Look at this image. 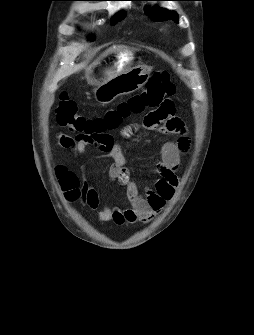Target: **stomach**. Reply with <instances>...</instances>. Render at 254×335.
Masks as SVG:
<instances>
[{
	"mask_svg": "<svg viewBox=\"0 0 254 335\" xmlns=\"http://www.w3.org/2000/svg\"><path fill=\"white\" fill-rule=\"evenodd\" d=\"M134 49L122 47L111 58L97 60L88 72V81L96 85L94 97L108 104L116 97L141 88L149 79L150 67H133Z\"/></svg>",
	"mask_w": 254,
	"mask_h": 335,
	"instance_id": "1",
	"label": "stomach"
}]
</instances>
